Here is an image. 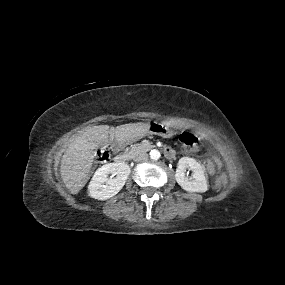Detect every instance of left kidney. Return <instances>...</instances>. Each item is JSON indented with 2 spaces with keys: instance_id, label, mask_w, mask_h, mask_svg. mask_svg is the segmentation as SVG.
<instances>
[{
  "instance_id": "5707ae66",
  "label": "left kidney",
  "mask_w": 285,
  "mask_h": 285,
  "mask_svg": "<svg viewBox=\"0 0 285 285\" xmlns=\"http://www.w3.org/2000/svg\"><path fill=\"white\" fill-rule=\"evenodd\" d=\"M186 169L191 170L192 178L185 176ZM175 178L177 183L188 192H206L208 190L204 167L195 159L182 157L178 161Z\"/></svg>"
}]
</instances>
